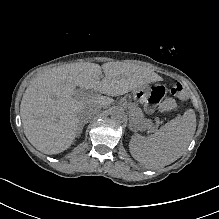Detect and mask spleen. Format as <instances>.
Wrapping results in <instances>:
<instances>
[{
	"mask_svg": "<svg viewBox=\"0 0 219 219\" xmlns=\"http://www.w3.org/2000/svg\"><path fill=\"white\" fill-rule=\"evenodd\" d=\"M196 130L193 110L185 112L149 137L134 136L130 152L139 163L149 168H161L179 159L190 144Z\"/></svg>",
	"mask_w": 219,
	"mask_h": 219,
	"instance_id": "1",
	"label": "spleen"
}]
</instances>
